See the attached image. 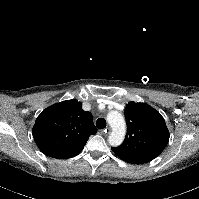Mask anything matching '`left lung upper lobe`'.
<instances>
[{
	"instance_id": "left-lung-upper-lobe-1",
	"label": "left lung upper lobe",
	"mask_w": 199,
	"mask_h": 199,
	"mask_svg": "<svg viewBox=\"0 0 199 199\" xmlns=\"http://www.w3.org/2000/svg\"><path fill=\"white\" fill-rule=\"evenodd\" d=\"M127 134L113 152L123 160L146 163L156 158L169 142L164 118L151 106L130 102L125 108Z\"/></svg>"
}]
</instances>
